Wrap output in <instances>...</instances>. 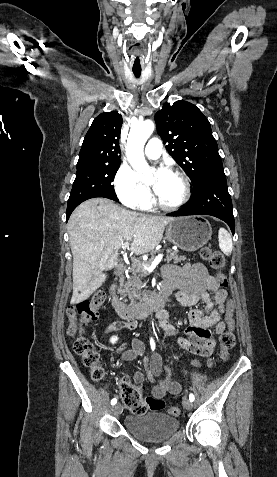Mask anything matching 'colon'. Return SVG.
<instances>
[{"label":"colon","instance_id":"colon-1","mask_svg":"<svg viewBox=\"0 0 277 477\" xmlns=\"http://www.w3.org/2000/svg\"><path fill=\"white\" fill-rule=\"evenodd\" d=\"M200 255L201 258L207 261L211 268L215 270L216 278L221 286H227V277L223 273L225 267L224 255L219 250L210 247L202 248ZM105 298V292L98 290L90 299L78 303L70 308L68 312L70 319L68 334L74 338L73 349L75 353L82 358L84 365L91 370L92 377L96 381L103 379L105 369L100 362L99 353L84 335V325L98 318V309L104 303ZM235 304V299L230 298L225 302L223 307L226 312L223 316L224 324L229 326V329L220 337V353L223 358L227 357L228 352L234 348L236 342L233 332V327L236 324ZM120 393L124 405L135 414H143L148 410L160 411L165 406L162 399L153 397L143 399L142 388L132 384L130 381L121 383ZM169 414L178 416L180 409L178 407H171Z\"/></svg>","mask_w":277,"mask_h":477}]
</instances>
